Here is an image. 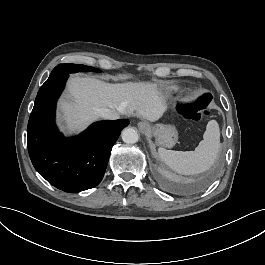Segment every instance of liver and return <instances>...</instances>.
<instances>
[{"label":"liver","instance_id":"6515ba94","mask_svg":"<svg viewBox=\"0 0 265 265\" xmlns=\"http://www.w3.org/2000/svg\"><path fill=\"white\" fill-rule=\"evenodd\" d=\"M67 90L73 101L59 102L60 119L65 129L81 131L99 118V110L108 108L118 114L135 115L149 121L165 112L166 100L156 83H106L93 77L71 76Z\"/></svg>","mask_w":265,"mask_h":265}]
</instances>
